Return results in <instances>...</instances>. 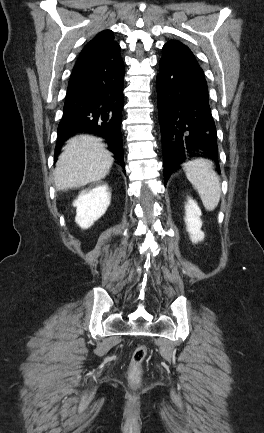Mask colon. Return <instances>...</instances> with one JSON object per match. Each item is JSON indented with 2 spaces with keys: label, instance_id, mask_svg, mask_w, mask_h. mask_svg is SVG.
<instances>
[{
  "label": "colon",
  "instance_id": "5ec220e1",
  "mask_svg": "<svg viewBox=\"0 0 264 433\" xmlns=\"http://www.w3.org/2000/svg\"><path fill=\"white\" fill-rule=\"evenodd\" d=\"M147 356V347L140 345L132 353L128 368V379L133 386H138L143 373V363Z\"/></svg>",
  "mask_w": 264,
  "mask_h": 433
}]
</instances>
